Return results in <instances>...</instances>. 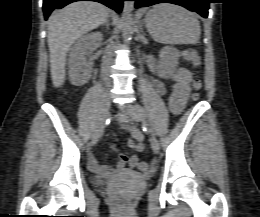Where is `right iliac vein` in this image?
Wrapping results in <instances>:
<instances>
[{
    "instance_id": "63e3f726",
    "label": "right iliac vein",
    "mask_w": 260,
    "mask_h": 217,
    "mask_svg": "<svg viewBox=\"0 0 260 217\" xmlns=\"http://www.w3.org/2000/svg\"><path fill=\"white\" fill-rule=\"evenodd\" d=\"M110 106H111V99L109 96H105L103 98L102 105H101L100 118L98 120L96 129L92 136V140H91L92 146H94L97 143V141L99 140L102 134L104 124L109 115Z\"/></svg>"
}]
</instances>
